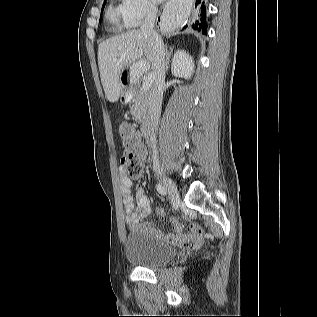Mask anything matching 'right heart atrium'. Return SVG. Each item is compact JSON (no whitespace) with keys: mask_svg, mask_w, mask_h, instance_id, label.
Masks as SVG:
<instances>
[{"mask_svg":"<svg viewBox=\"0 0 317 317\" xmlns=\"http://www.w3.org/2000/svg\"><path fill=\"white\" fill-rule=\"evenodd\" d=\"M123 17L130 28L139 26L145 19L153 17L156 6L151 0H121Z\"/></svg>","mask_w":317,"mask_h":317,"instance_id":"1","label":"right heart atrium"}]
</instances>
